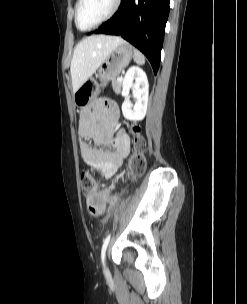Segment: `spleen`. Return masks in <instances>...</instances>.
<instances>
[{"instance_id": "3e777b00", "label": "spleen", "mask_w": 247, "mask_h": 304, "mask_svg": "<svg viewBox=\"0 0 247 304\" xmlns=\"http://www.w3.org/2000/svg\"><path fill=\"white\" fill-rule=\"evenodd\" d=\"M134 61L138 65H143L145 63L144 55L140 51H138L137 49H134Z\"/></svg>"}]
</instances>
